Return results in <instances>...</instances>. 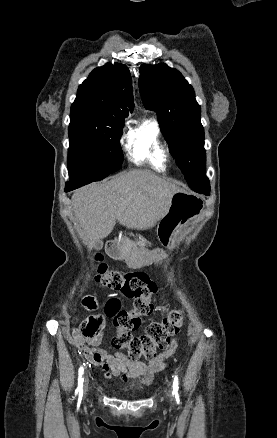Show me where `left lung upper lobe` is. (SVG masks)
<instances>
[{
    "mask_svg": "<svg viewBox=\"0 0 277 438\" xmlns=\"http://www.w3.org/2000/svg\"><path fill=\"white\" fill-rule=\"evenodd\" d=\"M139 88L145 108L157 111L161 131L189 187L209 195L201 108L192 86L166 64H142Z\"/></svg>",
    "mask_w": 277,
    "mask_h": 438,
    "instance_id": "obj_1",
    "label": "left lung upper lobe"
}]
</instances>
